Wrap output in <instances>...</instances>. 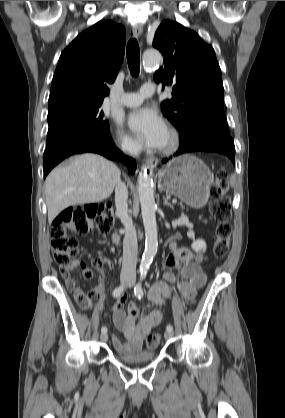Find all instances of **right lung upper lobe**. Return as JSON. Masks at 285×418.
Here are the masks:
<instances>
[{"label":"right lung upper lobe","instance_id":"obj_1","mask_svg":"<svg viewBox=\"0 0 285 418\" xmlns=\"http://www.w3.org/2000/svg\"><path fill=\"white\" fill-rule=\"evenodd\" d=\"M125 28L101 20L78 35L61 53L52 79L49 104L80 100L103 102L124 57Z\"/></svg>","mask_w":285,"mask_h":418}]
</instances>
